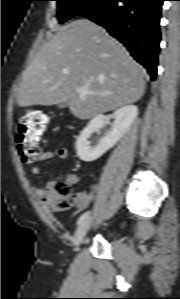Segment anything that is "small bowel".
<instances>
[{
	"instance_id": "obj_1",
	"label": "small bowel",
	"mask_w": 180,
	"mask_h": 299,
	"mask_svg": "<svg viewBox=\"0 0 180 299\" xmlns=\"http://www.w3.org/2000/svg\"><path fill=\"white\" fill-rule=\"evenodd\" d=\"M57 157L60 160H65L68 157V151L66 148H59L56 151H42L38 154L35 161H45ZM31 173L33 175H39L41 173V168L38 165H33L31 167ZM65 182L69 185H75L78 182V176L75 173H67L65 175ZM55 184V181H48L44 187H34L35 194L39 197L40 201L46 205L49 198L50 189ZM92 199V195L87 192L80 191L75 196V206L77 209L86 208Z\"/></svg>"
}]
</instances>
